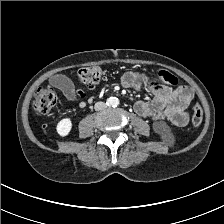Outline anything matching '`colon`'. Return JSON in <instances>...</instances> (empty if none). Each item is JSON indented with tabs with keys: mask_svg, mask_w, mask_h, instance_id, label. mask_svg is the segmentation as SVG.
<instances>
[{
	"mask_svg": "<svg viewBox=\"0 0 224 224\" xmlns=\"http://www.w3.org/2000/svg\"><path fill=\"white\" fill-rule=\"evenodd\" d=\"M103 70L101 67L96 65H89L79 70L80 80L88 85L92 86L98 83L103 77ZM158 78L161 82L175 85L177 78L165 70L158 72ZM58 96L54 88L50 86L40 87L34 96V109L39 115H46L49 111L57 104ZM203 120V110L198 101H195L192 107V124L198 126Z\"/></svg>",
	"mask_w": 224,
	"mask_h": 224,
	"instance_id": "1",
	"label": "colon"
}]
</instances>
